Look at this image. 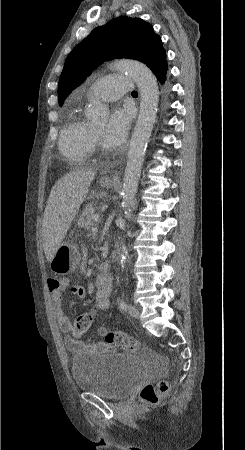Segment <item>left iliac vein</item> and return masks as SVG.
<instances>
[{"mask_svg": "<svg viewBox=\"0 0 245 450\" xmlns=\"http://www.w3.org/2000/svg\"><path fill=\"white\" fill-rule=\"evenodd\" d=\"M128 312L135 319L138 318L140 315V311L138 307H136L135 305H129Z\"/></svg>", "mask_w": 245, "mask_h": 450, "instance_id": "1", "label": "left iliac vein"}]
</instances>
